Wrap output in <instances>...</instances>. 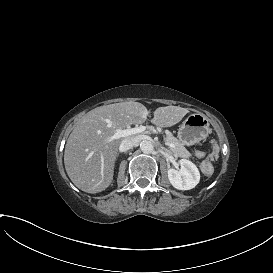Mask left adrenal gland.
<instances>
[{
  "label": "left adrenal gland",
  "instance_id": "1",
  "mask_svg": "<svg viewBox=\"0 0 273 273\" xmlns=\"http://www.w3.org/2000/svg\"><path fill=\"white\" fill-rule=\"evenodd\" d=\"M162 149H163V151L168 152V150L166 148L162 147Z\"/></svg>",
  "mask_w": 273,
  "mask_h": 273
}]
</instances>
